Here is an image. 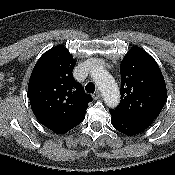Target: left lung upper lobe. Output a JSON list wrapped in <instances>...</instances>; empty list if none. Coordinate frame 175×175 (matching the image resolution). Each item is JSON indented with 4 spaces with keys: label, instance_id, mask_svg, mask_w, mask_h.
<instances>
[{
    "label": "left lung upper lobe",
    "instance_id": "obj_1",
    "mask_svg": "<svg viewBox=\"0 0 175 175\" xmlns=\"http://www.w3.org/2000/svg\"><path fill=\"white\" fill-rule=\"evenodd\" d=\"M121 102L109 110L128 118L155 119L161 112L167 90L161 70L152 56L133 47L120 65Z\"/></svg>",
    "mask_w": 175,
    "mask_h": 175
}]
</instances>
